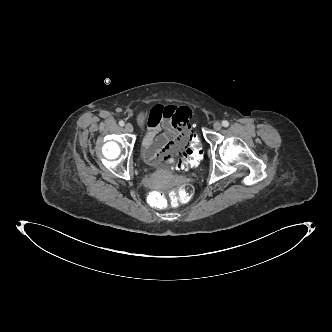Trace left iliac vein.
<instances>
[{
  "label": "left iliac vein",
  "mask_w": 332,
  "mask_h": 332,
  "mask_svg": "<svg viewBox=\"0 0 332 332\" xmlns=\"http://www.w3.org/2000/svg\"><path fill=\"white\" fill-rule=\"evenodd\" d=\"M213 128L216 130V131H219L221 128H222V125L220 122H215L214 125H213Z\"/></svg>",
  "instance_id": "1"
}]
</instances>
